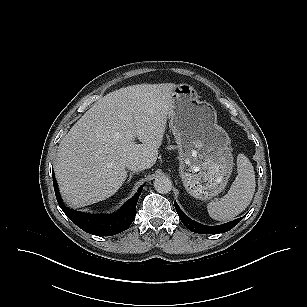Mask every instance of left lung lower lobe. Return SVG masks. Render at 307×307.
Listing matches in <instances>:
<instances>
[{
    "label": "left lung lower lobe",
    "instance_id": "0a47b994",
    "mask_svg": "<svg viewBox=\"0 0 307 307\" xmlns=\"http://www.w3.org/2000/svg\"><path fill=\"white\" fill-rule=\"evenodd\" d=\"M176 211L179 215V218L181 219L182 223L192 232L200 233V234H218L223 233L231 230L234 226H236L243 217L238 218L234 221H230L228 223L217 225V226H206L201 225L193 220H191L189 217H187L179 208L176 202H174Z\"/></svg>",
    "mask_w": 307,
    "mask_h": 307
}]
</instances>
